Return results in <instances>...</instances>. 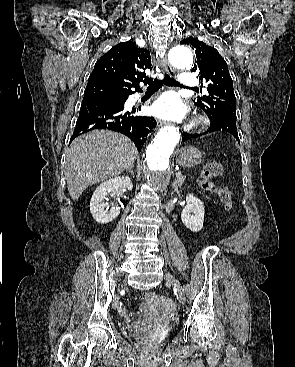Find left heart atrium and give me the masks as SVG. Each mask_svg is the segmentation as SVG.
<instances>
[{
    "mask_svg": "<svg viewBox=\"0 0 295 367\" xmlns=\"http://www.w3.org/2000/svg\"><path fill=\"white\" fill-rule=\"evenodd\" d=\"M152 113L164 120L180 121L187 112L182 99L175 92H168L156 100L152 107Z\"/></svg>",
    "mask_w": 295,
    "mask_h": 367,
    "instance_id": "1",
    "label": "left heart atrium"
}]
</instances>
